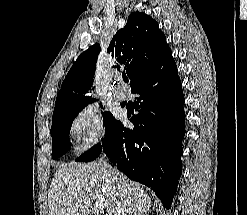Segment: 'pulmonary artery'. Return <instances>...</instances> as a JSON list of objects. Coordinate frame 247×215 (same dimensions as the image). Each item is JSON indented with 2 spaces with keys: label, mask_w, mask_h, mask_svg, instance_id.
Returning <instances> with one entry per match:
<instances>
[{
  "label": "pulmonary artery",
  "mask_w": 247,
  "mask_h": 215,
  "mask_svg": "<svg viewBox=\"0 0 247 215\" xmlns=\"http://www.w3.org/2000/svg\"><path fill=\"white\" fill-rule=\"evenodd\" d=\"M114 97L118 101H124L127 99V93L123 87V83H120L117 87V89L114 91Z\"/></svg>",
  "instance_id": "1"
}]
</instances>
